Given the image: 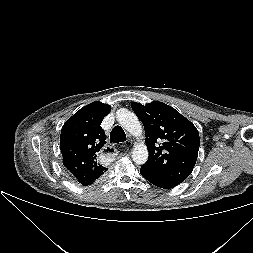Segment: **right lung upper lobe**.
I'll return each instance as SVG.
<instances>
[{
    "label": "right lung upper lobe",
    "mask_w": 253,
    "mask_h": 253,
    "mask_svg": "<svg viewBox=\"0 0 253 253\" xmlns=\"http://www.w3.org/2000/svg\"><path fill=\"white\" fill-rule=\"evenodd\" d=\"M110 110L108 104L92 102L70 117L61 129L63 165L83 186L95 183L107 170L97 163V155L106 140L100 124Z\"/></svg>",
    "instance_id": "1"
}]
</instances>
